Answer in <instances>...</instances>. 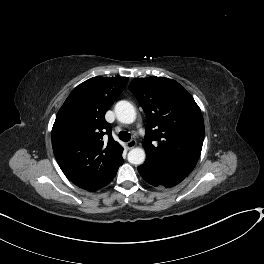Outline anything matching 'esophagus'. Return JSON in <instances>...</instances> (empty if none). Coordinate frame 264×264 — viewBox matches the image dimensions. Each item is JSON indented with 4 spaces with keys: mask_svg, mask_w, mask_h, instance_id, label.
Listing matches in <instances>:
<instances>
[{
    "mask_svg": "<svg viewBox=\"0 0 264 264\" xmlns=\"http://www.w3.org/2000/svg\"><path fill=\"white\" fill-rule=\"evenodd\" d=\"M136 141L135 140H130L127 142V148L128 149H131V148H134L136 146Z\"/></svg>",
    "mask_w": 264,
    "mask_h": 264,
    "instance_id": "esophagus-1",
    "label": "esophagus"
}]
</instances>
